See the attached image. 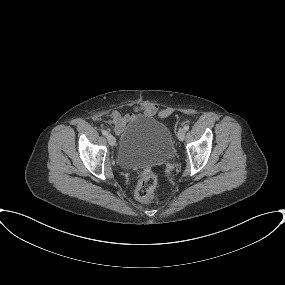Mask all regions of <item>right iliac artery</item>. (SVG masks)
<instances>
[{
	"label": "right iliac artery",
	"mask_w": 285,
	"mask_h": 285,
	"mask_svg": "<svg viewBox=\"0 0 285 285\" xmlns=\"http://www.w3.org/2000/svg\"><path fill=\"white\" fill-rule=\"evenodd\" d=\"M102 134L104 135V136H108V132L106 131V130H102Z\"/></svg>",
	"instance_id": "82829eb1"
}]
</instances>
